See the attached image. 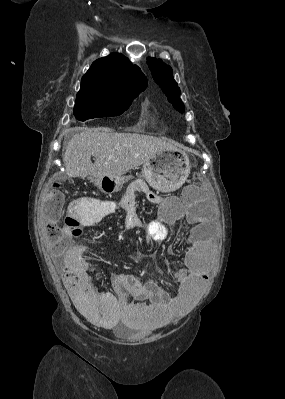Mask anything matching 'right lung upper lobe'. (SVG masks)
<instances>
[{"label":"right lung upper lobe","mask_w":285,"mask_h":399,"mask_svg":"<svg viewBox=\"0 0 285 399\" xmlns=\"http://www.w3.org/2000/svg\"><path fill=\"white\" fill-rule=\"evenodd\" d=\"M147 87V79L136 65L122 54H111L93 62L82 77L78 98H104L123 94H139Z\"/></svg>","instance_id":"cb5924a9"}]
</instances>
